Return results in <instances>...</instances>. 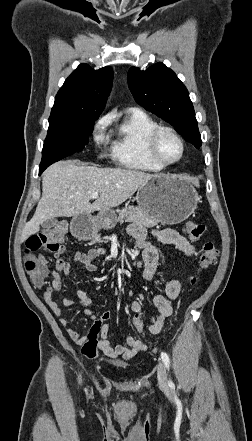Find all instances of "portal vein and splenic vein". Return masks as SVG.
Here are the masks:
<instances>
[{
	"label": "portal vein and splenic vein",
	"mask_w": 252,
	"mask_h": 441,
	"mask_svg": "<svg viewBox=\"0 0 252 441\" xmlns=\"http://www.w3.org/2000/svg\"><path fill=\"white\" fill-rule=\"evenodd\" d=\"M98 197H99L98 192H94V193H92V195H91V198H92V199H96V198H98Z\"/></svg>",
	"instance_id": "1"
}]
</instances>
